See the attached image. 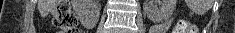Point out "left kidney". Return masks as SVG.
Returning a JSON list of instances; mask_svg holds the SVG:
<instances>
[{"label":"left kidney","instance_id":"left-kidney-1","mask_svg":"<svg viewBox=\"0 0 235 33\" xmlns=\"http://www.w3.org/2000/svg\"><path fill=\"white\" fill-rule=\"evenodd\" d=\"M177 0H149L144 10L147 17L154 23L162 22L171 17Z\"/></svg>","mask_w":235,"mask_h":33}]
</instances>
